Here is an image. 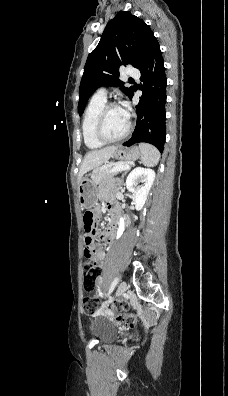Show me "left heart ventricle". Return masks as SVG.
<instances>
[{
    "mask_svg": "<svg viewBox=\"0 0 228 396\" xmlns=\"http://www.w3.org/2000/svg\"><path fill=\"white\" fill-rule=\"evenodd\" d=\"M128 125V118L122 108L109 110L105 118L104 130L108 137H118L124 133Z\"/></svg>",
    "mask_w": 228,
    "mask_h": 396,
    "instance_id": "b2bd125f",
    "label": "left heart ventricle"
}]
</instances>
